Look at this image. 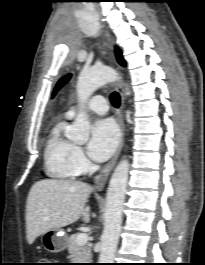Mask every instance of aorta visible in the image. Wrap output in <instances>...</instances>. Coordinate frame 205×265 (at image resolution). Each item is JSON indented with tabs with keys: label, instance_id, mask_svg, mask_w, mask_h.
<instances>
[{
	"label": "aorta",
	"instance_id": "aorta-1",
	"mask_svg": "<svg viewBox=\"0 0 205 265\" xmlns=\"http://www.w3.org/2000/svg\"><path fill=\"white\" fill-rule=\"evenodd\" d=\"M116 79V71L108 66H96L83 69L78 77L76 86L79 102H86L99 87L113 82ZM89 131L90 124L88 116L84 111H80L66 136L75 142H86L89 138ZM128 172L129 162L127 159H122L116 166L109 181L99 263H113L115 258L121 232L122 211Z\"/></svg>",
	"mask_w": 205,
	"mask_h": 265
}]
</instances>
